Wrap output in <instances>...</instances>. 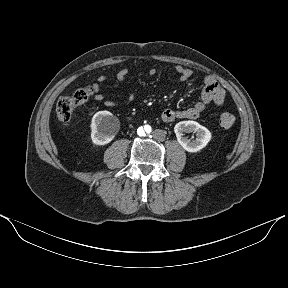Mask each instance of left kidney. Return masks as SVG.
Instances as JSON below:
<instances>
[{
    "label": "left kidney",
    "instance_id": "5707ae66",
    "mask_svg": "<svg viewBox=\"0 0 288 288\" xmlns=\"http://www.w3.org/2000/svg\"><path fill=\"white\" fill-rule=\"evenodd\" d=\"M178 143L188 152H198L211 140V132L196 121H181L174 127ZM196 133V139L190 140L183 133Z\"/></svg>",
    "mask_w": 288,
    "mask_h": 288
}]
</instances>
